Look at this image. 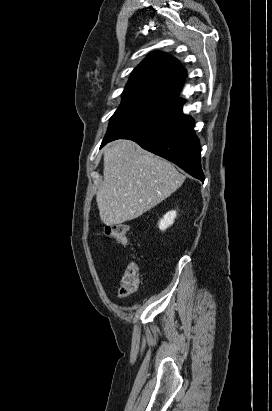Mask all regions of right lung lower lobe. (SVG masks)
<instances>
[{
	"label": "right lung lower lobe",
	"mask_w": 272,
	"mask_h": 411,
	"mask_svg": "<svg viewBox=\"0 0 272 411\" xmlns=\"http://www.w3.org/2000/svg\"><path fill=\"white\" fill-rule=\"evenodd\" d=\"M183 108L126 136L142 148L177 164L191 176L204 181L200 162V142L194 132V120ZM115 137L105 136L102 146Z\"/></svg>",
	"instance_id": "obj_1"
}]
</instances>
